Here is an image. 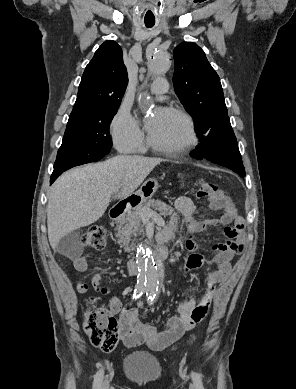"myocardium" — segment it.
<instances>
[{"label":"myocardium","mask_w":296,"mask_h":389,"mask_svg":"<svg viewBox=\"0 0 296 389\" xmlns=\"http://www.w3.org/2000/svg\"><path fill=\"white\" fill-rule=\"evenodd\" d=\"M167 111H170L183 119L187 130L186 140L178 145L168 146V145H162L155 142L152 136L149 134L148 144L154 150L162 153L171 154V155L183 154L189 151L192 147H194L198 140L197 131H196L193 118L189 113L177 107H169Z\"/></svg>","instance_id":"obj_1"}]
</instances>
